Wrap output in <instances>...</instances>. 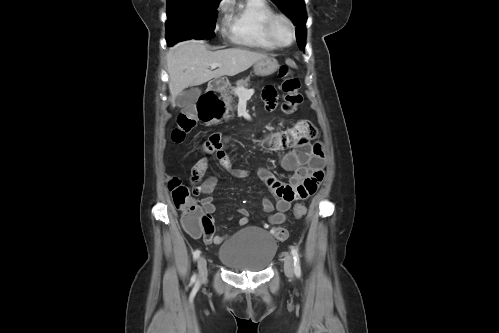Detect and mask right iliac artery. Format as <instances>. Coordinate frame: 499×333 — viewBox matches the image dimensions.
Listing matches in <instances>:
<instances>
[{"label":"right iliac artery","mask_w":499,"mask_h":333,"mask_svg":"<svg viewBox=\"0 0 499 333\" xmlns=\"http://www.w3.org/2000/svg\"><path fill=\"white\" fill-rule=\"evenodd\" d=\"M199 256H200V250H196V251L193 253V259H194V260H197V259L199 258ZM195 279H196V275L194 274V275L192 276V279H191V280H192V281H195Z\"/></svg>","instance_id":"1"}]
</instances>
